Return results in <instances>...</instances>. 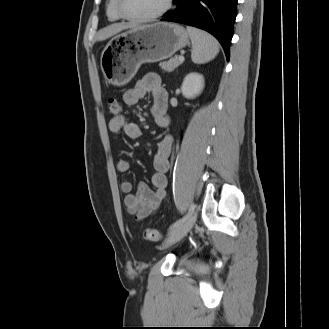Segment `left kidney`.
I'll return each instance as SVG.
<instances>
[{
  "label": "left kidney",
  "mask_w": 329,
  "mask_h": 329,
  "mask_svg": "<svg viewBox=\"0 0 329 329\" xmlns=\"http://www.w3.org/2000/svg\"><path fill=\"white\" fill-rule=\"evenodd\" d=\"M204 88V78L199 73H189L183 80L181 91L185 98L198 96Z\"/></svg>",
  "instance_id": "obj_1"
}]
</instances>
